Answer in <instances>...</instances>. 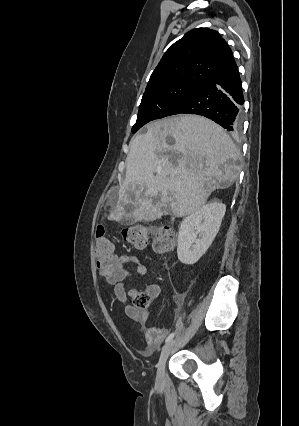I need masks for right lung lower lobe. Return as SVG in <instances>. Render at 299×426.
<instances>
[{
    "label": "right lung lower lobe",
    "mask_w": 299,
    "mask_h": 426,
    "mask_svg": "<svg viewBox=\"0 0 299 426\" xmlns=\"http://www.w3.org/2000/svg\"><path fill=\"white\" fill-rule=\"evenodd\" d=\"M244 103L241 79L236 63L170 106L160 118L175 114L205 116L228 131L237 132L241 125Z\"/></svg>",
    "instance_id": "98d812e1"
}]
</instances>
